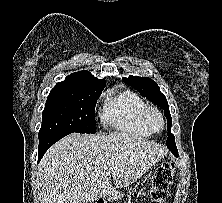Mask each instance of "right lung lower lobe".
Segmentation results:
<instances>
[{
	"label": "right lung lower lobe",
	"instance_id": "1",
	"mask_svg": "<svg viewBox=\"0 0 222 203\" xmlns=\"http://www.w3.org/2000/svg\"><path fill=\"white\" fill-rule=\"evenodd\" d=\"M66 135H51L48 137L40 138L39 147H38V161L41 160V158L43 157L45 152L49 149V147H51L54 143H56L58 140H60Z\"/></svg>",
	"mask_w": 222,
	"mask_h": 203
}]
</instances>
